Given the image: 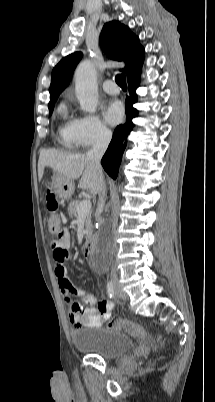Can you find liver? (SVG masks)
<instances>
[{
  "label": "liver",
  "mask_w": 215,
  "mask_h": 402,
  "mask_svg": "<svg viewBox=\"0 0 215 402\" xmlns=\"http://www.w3.org/2000/svg\"><path fill=\"white\" fill-rule=\"evenodd\" d=\"M50 167L70 180L80 178L78 187L98 193L100 177L85 154H74L54 149L42 150L38 161V178L42 179L44 168Z\"/></svg>",
  "instance_id": "1"
}]
</instances>
